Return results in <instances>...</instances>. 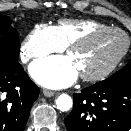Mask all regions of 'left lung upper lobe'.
Returning a JSON list of instances; mask_svg holds the SVG:
<instances>
[{
    "label": "left lung upper lobe",
    "mask_w": 131,
    "mask_h": 131,
    "mask_svg": "<svg viewBox=\"0 0 131 131\" xmlns=\"http://www.w3.org/2000/svg\"><path fill=\"white\" fill-rule=\"evenodd\" d=\"M101 85H128L131 86V61L123 69L111 75L109 78L97 82Z\"/></svg>",
    "instance_id": "1"
}]
</instances>
